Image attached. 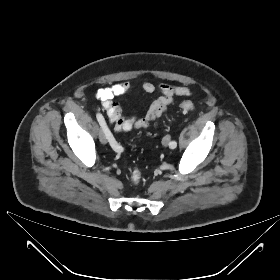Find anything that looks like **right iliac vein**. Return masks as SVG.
<instances>
[{"instance_id": "right-iliac-vein-1", "label": "right iliac vein", "mask_w": 280, "mask_h": 280, "mask_svg": "<svg viewBox=\"0 0 280 280\" xmlns=\"http://www.w3.org/2000/svg\"><path fill=\"white\" fill-rule=\"evenodd\" d=\"M99 140L102 144H106L108 142L106 133L104 132L103 129H101L100 132H99Z\"/></svg>"}]
</instances>
